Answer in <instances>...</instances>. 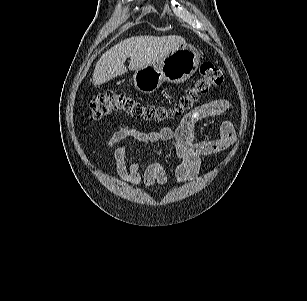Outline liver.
<instances>
[{
  "label": "liver",
  "mask_w": 307,
  "mask_h": 301,
  "mask_svg": "<svg viewBox=\"0 0 307 301\" xmlns=\"http://www.w3.org/2000/svg\"><path fill=\"white\" fill-rule=\"evenodd\" d=\"M185 43L181 36H137L125 39L107 50L98 60L93 73V83L100 85L127 72L124 65L130 57L129 70L154 64L170 51Z\"/></svg>",
  "instance_id": "liver-1"
}]
</instances>
